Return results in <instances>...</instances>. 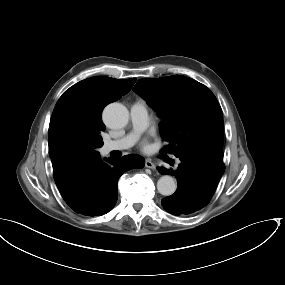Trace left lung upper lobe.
<instances>
[{"label": "left lung upper lobe", "instance_id": "obj_1", "mask_svg": "<svg viewBox=\"0 0 285 285\" xmlns=\"http://www.w3.org/2000/svg\"><path fill=\"white\" fill-rule=\"evenodd\" d=\"M133 90L154 108L162 121L165 152L202 154L223 160V114L209 88L196 80L174 75L140 79Z\"/></svg>", "mask_w": 285, "mask_h": 285}]
</instances>
